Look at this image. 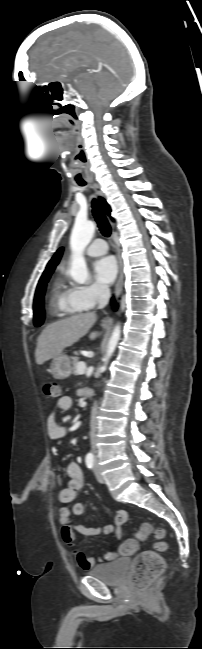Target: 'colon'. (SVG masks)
I'll use <instances>...</instances> for the list:
<instances>
[{
	"mask_svg": "<svg viewBox=\"0 0 202 649\" xmlns=\"http://www.w3.org/2000/svg\"><path fill=\"white\" fill-rule=\"evenodd\" d=\"M43 392L46 397L58 398L61 394V387L56 382H46L43 385ZM149 536H154L157 539L154 544L155 550H147L138 554L133 561L130 574L131 582L138 590L147 588L164 569V561L159 552L164 551L167 547L164 540L165 531L155 528L149 522H141L137 527L134 539L127 541L122 546L123 553L130 554L135 550L139 541H143Z\"/></svg>",
	"mask_w": 202,
	"mask_h": 649,
	"instance_id": "colon-1",
	"label": "colon"
}]
</instances>
